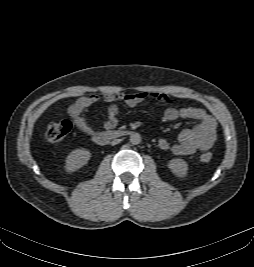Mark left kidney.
<instances>
[{
    "instance_id": "1",
    "label": "left kidney",
    "mask_w": 254,
    "mask_h": 267,
    "mask_svg": "<svg viewBox=\"0 0 254 267\" xmlns=\"http://www.w3.org/2000/svg\"><path fill=\"white\" fill-rule=\"evenodd\" d=\"M168 168L178 177H185L188 171V164L181 158H174L169 161Z\"/></svg>"
}]
</instances>
